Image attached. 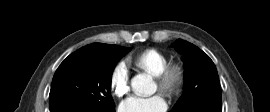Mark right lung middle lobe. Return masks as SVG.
<instances>
[{"instance_id": "right-lung-middle-lobe-1", "label": "right lung middle lobe", "mask_w": 270, "mask_h": 112, "mask_svg": "<svg viewBox=\"0 0 270 112\" xmlns=\"http://www.w3.org/2000/svg\"><path fill=\"white\" fill-rule=\"evenodd\" d=\"M130 48L93 43L69 55L56 70L49 95L50 109L62 106L115 107L111 76Z\"/></svg>"}]
</instances>
